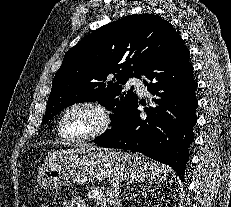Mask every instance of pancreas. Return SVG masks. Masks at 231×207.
<instances>
[{
    "mask_svg": "<svg viewBox=\"0 0 231 207\" xmlns=\"http://www.w3.org/2000/svg\"><path fill=\"white\" fill-rule=\"evenodd\" d=\"M117 195V189L112 187H93L88 192V198L93 200L96 205L100 207H108L109 204L114 203L113 201H116Z\"/></svg>",
    "mask_w": 231,
    "mask_h": 207,
    "instance_id": "cf45deb5",
    "label": "pancreas"
}]
</instances>
